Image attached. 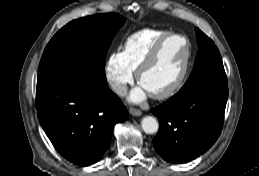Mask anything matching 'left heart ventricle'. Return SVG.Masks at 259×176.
Instances as JSON below:
<instances>
[{
	"instance_id": "obj_1",
	"label": "left heart ventricle",
	"mask_w": 259,
	"mask_h": 176,
	"mask_svg": "<svg viewBox=\"0 0 259 176\" xmlns=\"http://www.w3.org/2000/svg\"><path fill=\"white\" fill-rule=\"evenodd\" d=\"M186 53V42L180 37L170 38L156 61L144 72L140 84L155 93L170 86L180 74Z\"/></svg>"
}]
</instances>
